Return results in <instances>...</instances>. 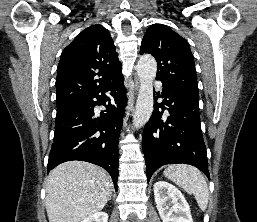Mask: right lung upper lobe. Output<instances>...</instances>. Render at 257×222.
<instances>
[{
    "label": "right lung upper lobe",
    "instance_id": "cb5924a9",
    "mask_svg": "<svg viewBox=\"0 0 257 222\" xmlns=\"http://www.w3.org/2000/svg\"><path fill=\"white\" fill-rule=\"evenodd\" d=\"M119 73L121 63L109 31L101 25H92L78 34L61 54L55 84L56 103L81 101Z\"/></svg>",
    "mask_w": 257,
    "mask_h": 222
}]
</instances>
